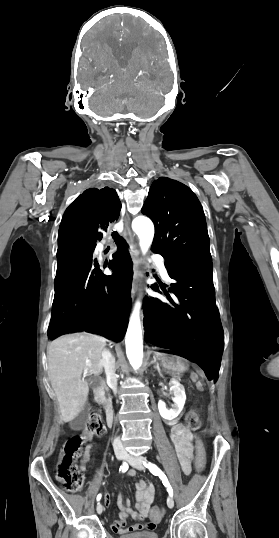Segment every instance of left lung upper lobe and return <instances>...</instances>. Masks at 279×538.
Returning a JSON list of instances; mask_svg holds the SVG:
<instances>
[{
  "label": "left lung upper lobe",
  "instance_id": "1",
  "mask_svg": "<svg viewBox=\"0 0 279 538\" xmlns=\"http://www.w3.org/2000/svg\"><path fill=\"white\" fill-rule=\"evenodd\" d=\"M141 212L155 224L152 250L180 265L212 264L202 206L186 185L160 177L154 181Z\"/></svg>",
  "mask_w": 279,
  "mask_h": 538
}]
</instances>
